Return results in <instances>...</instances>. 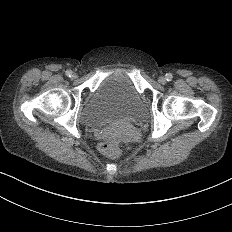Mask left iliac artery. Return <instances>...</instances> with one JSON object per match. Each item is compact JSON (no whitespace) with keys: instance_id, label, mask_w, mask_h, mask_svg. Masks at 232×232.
Here are the masks:
<instances>
[{"instance_id":"obj_1","label":"left iliac artery","mask_w":232,"mask_h":232,"mask_svg":"<svg viewBox=\"0 0 232 232\" xmlns=\"http://www.w3.org/2000/svg\"><path fill=\"white\" fill-rule=\"evenodd\" d=\"M172 78H173L172 73H166V75H165V79H166L167 81H171V80H172Z\"/></svg>"}]
</instances>
